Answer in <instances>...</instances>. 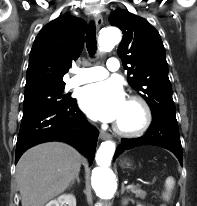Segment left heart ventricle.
I'll use <instances>...</instances> for the list:
<instances>
[{
    "label": "left heart ventricle",
    "mask_w": 197,
    "mask_h": 206,
    "mask_svg": "<svg viewBox=\"0 0 197 206\" xmlns=\"http://www.w3.org/2000/svg\"><path fill=\"white\" fill-rule=\"evenodd\" d=\"M140 121L141 112L139 108L135 104L127 102L123 115L117 123L126 128H134L139 125Z\"/></svg>",
    "instance_id": "1"
}]
</instances>
